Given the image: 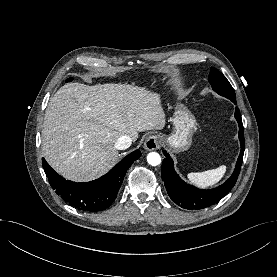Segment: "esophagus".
<instances>
[{"instance_id": "esophagus-1", "label": "esophagus", "mask_w": 277, "mask_h": 277, "mask_svg": "<svg viewBox=\"0 0 277 277\" xmlns=\"http://www.w3.org/2000/svg\"><path fill=\"white\" fill-rule=\"evenodd\" d=\"M160 143H161V138L159 136L151 135L146 139L144 143V149L146 151L155 150L159 147Z\"/></svg>"}]
</instances>
